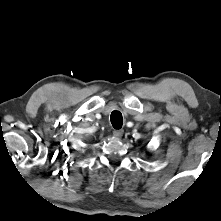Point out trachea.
Wrapping results in <instances>:
<instances>
[{
  "mask_svg": "<svg viewBox=\"0 0 221 221\" xmlns=\"http://www.w3.org/2000/svg\"><path fill=\"white\" fill-rule=\"evenodd\" d=\"M110 120H111L112 126H113L115 129H120V128L122 127L123 118H122L121 112H119V111H113V112L111 113Z\"/></svg>",
  "mask_w": 221,
  "mask_h": 221,
  "instance_id": "obj_1",
  "label": "trachea"
}]
</instances>
